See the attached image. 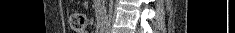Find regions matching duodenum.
<instances>
[{
    "instance_id": "410a0bca",
    "label": "duodenum",
    "mask_w": 235,
    "mask_h": 33,
    "mask_svg": "<svg viewBox=\"0 0 235 33\" xmlns=\"http://www.w3.org/2000/svg\"><path fill=\"white\" fill-rule=\"evenodd\" d=\"M105 27H106L105 22H101V23H100V32H101V33H104V32H105Z\"/></svg>"
}]
</instances>
